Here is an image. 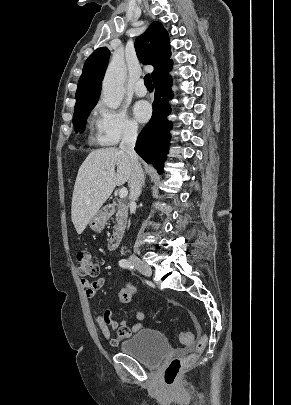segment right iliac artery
<instances>
[{
	"instance_id": "82829eb1",
	"label": "right iliac artery",
	"mask_w": 291,
	"mask_h": 405,
	"mask_svg": "<svg viewBox=\"0 0 291 405\" xmlns=\"http://www.w3.org/2000/svg\"><path fill=\"white\" fill-rule=\"evenodd\" d=\"M119 265H120V267H123V268H126V269H131V270L134 269V266L131 264V262H129L126 259L120 260Z\"/></svg>"
}]
</instances>
